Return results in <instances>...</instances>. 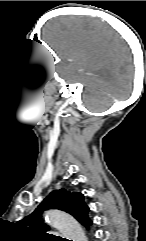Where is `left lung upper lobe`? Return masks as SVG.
Wrapping results in <instances>:
<instances>
[{
	"mask_svg": "<svg viewBox=\"0 0 146 241\" xmlns=\"http://www.w3.org/2000/svg\"><path fill=\"white\" fill-rule=\"evenodd\" d=\"M47 209L65 211L82 225L91 221L88 217L89 207L84 203L83 194L62 188L51 192L29 216L21 220V225L29 231L38 233L45 239H57L58 237L46 233L50 228L44 224L41 216L43 211Z\"/></svg>",
	"mask_w": 146,
	"mask_h": 241,
	"instance_id": "left-lung-upper-lobe-1",
	"label": "left lung upper lobe"
}]
</instances>
